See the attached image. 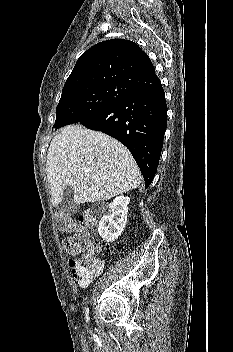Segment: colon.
I'll list each match as a JSON object with an SVG mask.
<instances>
[{
    "mask_svg": "<svg viewBox=\"0 0 233 352\" xmlns=\"http://www.w3.org/2000/svg\"><path fill=\"white\" fill-rule=\"evenodd\" d=\"M97 221L94 215L86 212L75 221L66 215H59L57 225L69 232L63 241L64 249L71 255L82 254L73 260L71 269L73 276L80 281H87L97 276L102 270V263L96 257L97 247L92 245L86 228L95 227Z\"/></svg>",
    "mask_w": 233,
    "mask_h": 352,
    "instance_id": "5ec220e1",
    "label": "colon"
}]
</instances>
